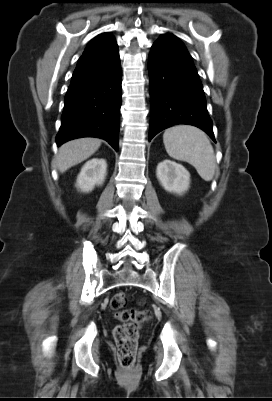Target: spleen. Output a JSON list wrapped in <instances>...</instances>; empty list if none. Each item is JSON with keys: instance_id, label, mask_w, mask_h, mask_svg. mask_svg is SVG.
Returning a JSON list of instances; mask_svg holds the SVG:
<instances>
[{"instance_id": "3e777b00", "label": "spleen", "mask_w": 272, "mask_h": 401, "mask_svg": "<svg viewBox=\"0 0 272 401\" xmlns=\"http://www.w3.org/2000/svg\"><path fill=\"white\" fill-rule=\"evenodd\" d=\"M163 142L168 155L195 167L199 176L211 181L215 174L216 159L213 147L200 129L179 125L165 130Z\"/></svg>"}]
</instances>
